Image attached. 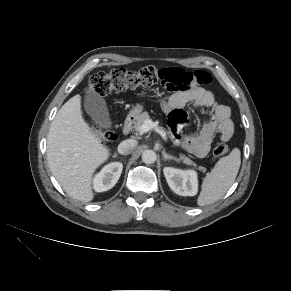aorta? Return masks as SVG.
Returning <instances> with one entry per match:
<instances>
[{
	"mask_svg": "<svg viewBox=\"0 0 291 291\" xmlns=\"http://www.w3.org/2000/svg\"><path fill=\"white\" fill-rule=\"evenodd\" d=\"M157 159L156 153L153 150H145L142 153V161L146 164H153Z\"/></svg>",
	"mask_w": 291,
	"mask_h": 291,
	"instance_id": "aorta-1",
	"label": "aorta"
}]
</instances>
